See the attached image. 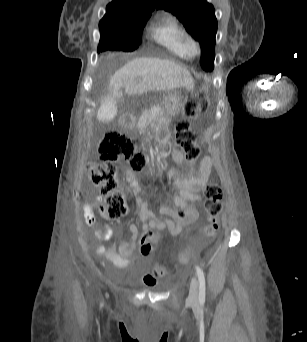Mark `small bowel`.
I'll return each instance as SVG.
<instances>
[{"instance_id":"1","label":"small bowel","mask_w":307,"mask_h":342,"mask_svg":"<svg viewBox=\"0 0 307 342\" xmlns=\"http://www.w3.org/2000/svg\"><path fill=\"white\" fill-rule=\"evenodd\" d=\"M207 135L204 134L202 140L205 141ZM172 161L181 164L184 161L183 153L180 150H173L171 153ZM213 159L205 156L198 167L191 164L189 166L190 175L188 177H176L172 170L168 171V176L172 184L176 187L177 193L173 197V203L165 204L160 209L162 218L156 216L149 210L146 201L139 196L137 203L138 221L142 223L143 233L145 229H153L154 225H163V232H181L184 226L194 222L198 218L197 204L201 202V191L209 181ZM127 182L134 194H140L141 189L138 179L133 170L126 172ZM101 197L96 196L91 202L84 206V218L87 225L94 228V236L98 240L108 241L112 238L113 232L110 227L104 226L99 228V223L94 214V210L98 208L104 215V207L101 205ZM180 212L183 215H180ZM132 234L128 242L119 245L113 244L106 248L103 245L94 247L97 254L103 255L118 268H126L131 264V255L137 247L138 231L135 225L130 226ZM148 255L149 253H142Z\"/></svg>"}]
</instances>
